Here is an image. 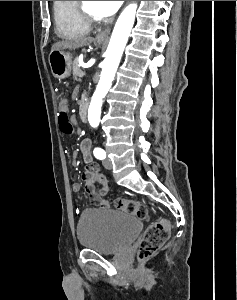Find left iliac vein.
I'll return each mask as SVG.
<instances>
[{"label": "left iliac vein", "instance_id": "left-iliac-vein-1", "mask_svg": "<svg viewBox=\"0 0 237 300\" xmlns=\"http://www.w3.org/2000/svg\"><path fill=\"white\" fill-rule=\"evenodd\" d=\"M103 166L106 168V169H112V162L109 158H105L103 160Z\"/></svg>", "mask_w": 237, "mask_h": 300}]
</instances>
